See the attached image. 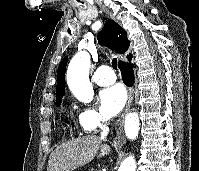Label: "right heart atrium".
Segmentation results:
<instances>
[{
    "mask_svg": "<svg viewBox=\"0 0 199 171\" xmlns=\"http://www.w3.org/2000/svg\"><path fill=\"white\" fill-rule=\"evenodd\" d=\"M107 122V118L96 108L84 107L78 115V125L83 132H94Z\"/></svg>",
    "mask_w": 199,
    "mask_h": 171,
    "instance_id": "right-heart-atrium-1",
    "label": "right heart atrium"
}]
</instances>
